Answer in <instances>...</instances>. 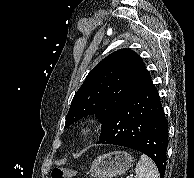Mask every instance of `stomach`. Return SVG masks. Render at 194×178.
<instances>
[{"label": "stomach", "instance_id": "0dacf381", "mask_svg": "<svg viewBox=\"0 0 194 178\" xmlns=\"http://www.w3.org/2000/svg\"><path fill=\"white\" fill-rule=\"evenodd\" d=\"M132 162L133 157L126 151H113L98 156L91 164L90 173L96 178H113L124 174Z\"/></svg>", "mask_w": 194, "mask_h": 178}]
</instances>
